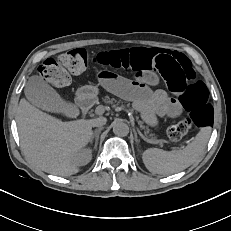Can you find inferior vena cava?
Here are the masks:
<instances>
[{"mask_svg": "<svg viewBox=\"0 0 231 231\" xmlns=\"http://www.w3.org/2000/svg\"><path fill=\"white\" fill-rule=\"evenodd\" d=\"M105 124H106L105 118H97L94 119L92 122L93 127H99V128H102Z\"/></svg>", "mask_w": 231, "mask_h": 231, "instance_id": "602c4592", "label": "inferior vena cava"}]
</instances>
